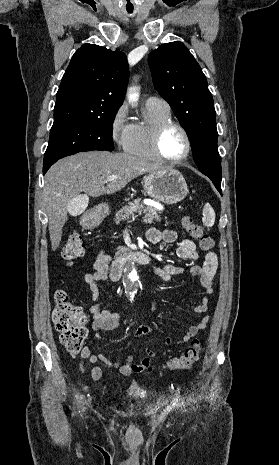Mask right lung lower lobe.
Segmentation results:
<instances>
[{
	"label": "right lung lower lobe",
	"instance_id": "right-lung-lower-lobe-1",
	"mask_svg": "<svg viewBox=\"0 0 279 465\" xmlns=\"http://www.w3.org/2000/svg\"><path fill=\"white\" fill-rule=\"evenodd\" d=\"M50 166H47V167H43V174H45L47 172V170L49 169Z\"/></svg>",
	"mask_w": 279,
	"mask_h": 465
}]
</instances>
